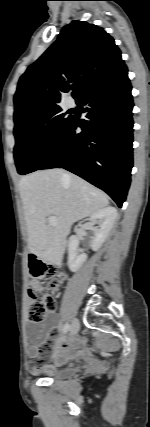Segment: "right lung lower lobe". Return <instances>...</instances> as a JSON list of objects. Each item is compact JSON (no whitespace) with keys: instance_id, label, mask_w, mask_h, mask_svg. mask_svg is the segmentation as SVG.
Returning a JSON list of instances; mask_svg holds the SVG:
<instances>
[{"instance_id":"98d812e1","label":"right lung lower lobe","mask_w":150,"mask_h":427,"mask_svg":"<svg viewBox=\"0 0 150 427\" xmlns=\"http://www.w3.org/2000/svg\"><path fill=\"white\" fill-rule=\"evenodd\" d=\"M76 102L86 106L85 118L71 120L37 170L67 169L104 190L121 208L133 166V100L126 65Z\"/></svg>"}]
</instances>
